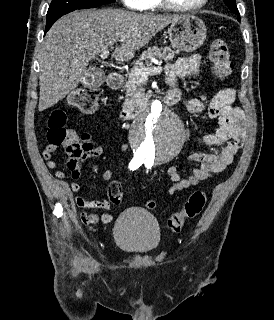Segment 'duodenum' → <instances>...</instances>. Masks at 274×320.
I'll return each mask as SVG.
<instances>
[{
    "mask_svg": "<svg viewBox=\"0 0 274 320\" xmlns=\"http://www.w3.org/2000/svg\"><path fill=\"white\" fill-rule=\"evenodd\" d=\"M123 80V75L119 72H112L109 74L107 81L109 88L111 90H118L121 86ZM180 94L177 91L169 92L163 99L164 103L167 105L176 104L179 102ZM149 105V101L143 100L137 103L131 109H127L123 111V119L125 121H132L135 119L140 113H142Z\"/></svg>",
    "mask_w": 274,
    "mask_h": 320,
    "instance_id": "obj_1",
    "label": "duodenum"
}]
</instances>
